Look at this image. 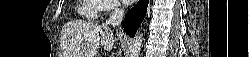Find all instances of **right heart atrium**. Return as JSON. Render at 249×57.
<instances>
[{
    "instance_id": "d8ad5b80",
    "label": "right heart atrium",
    "mask_w": 249,
    "mask_h": 57,
    "mask_svg": "<svg viewBox=\"0 0 249 57\" xmlns=\"http://www.w3.org/2000/svg\"><path fill=\"white\" fill-rule=\"evenodd\" d=\"M99 3V11L102 13H110L118 9L116 0H97Z\"/></svg>"
}]
</instances>
